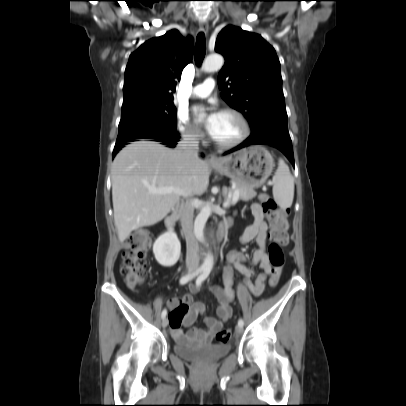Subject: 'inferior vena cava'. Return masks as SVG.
Wrapping results in <instances>:
<instances>
[{"label": "inferior vena cava", "mask_w": 406, "mask_h": 406, "mask_svg": "<svg viewBox=\"0 0 406 406\" xmlns=\"http://www.w3.org/2000/svg\"><path fill=\"white\" fill-rule=\"evenodd\" d=\"M177 152L187 161L196 162L199 159V141L196 135L184 134L178 143ZM196 200H187L181 217V226L186 239V266L197 268L199 265V246L193 233V212Z\"/></svg>", "instance_id": "602c4592"}]
</instances>
